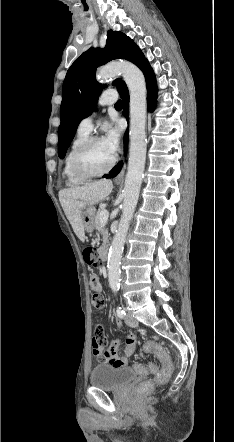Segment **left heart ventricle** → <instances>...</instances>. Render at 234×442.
Masks as SVG:
<instances>
[{
  "mask_svg": "<svg viewBox=\"0 0 234 442\" xmlns=\"http://www.w3.org/2000/svg\"><path fill=\"white\" fill-rule=\"evenodd\" d=\"M112 155L103 141L95 142L84 156V165L91 171H101L105 169L111 162Z\"/></svg>",
  "mask_w": 234,
  "mask_h": 442,
  "instance_id": "1",
  "label": "left heart ventricle"
}]
</instances>
